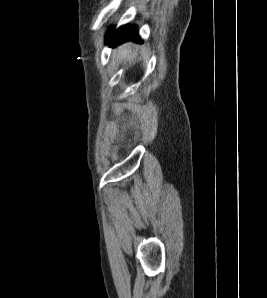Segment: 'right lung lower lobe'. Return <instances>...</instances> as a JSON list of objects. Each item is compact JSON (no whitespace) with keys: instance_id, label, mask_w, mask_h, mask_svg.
<instances>
[{"instance_id":"98d812e1","label":"right lung lower lobe","mask_w":267,"mask_h":298,"mask_svg":"<svg viewBox=\"0 0 267 298\" xmlns=\"http://www.w3.org/2000/svg\"><path fill=\"white\" fill-rule=\"evenodd\" d=\"M107 42L113 46L128 40H140L138 31L135 26H122L116 32L109 31L107 34Z\"/></svg>"}]
</instances>
